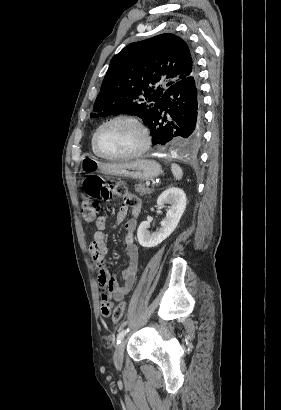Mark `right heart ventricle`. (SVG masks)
Segmentation results:
<instances>
[{"label":"right heart ventricle","instance_id":"1","mask_svg":"<svg viewBox=\"0 0 281 410\" xmlns=\"http://www.w3.org/2000/svg\"><path fill=\"white\" fill-rule=\"evenodd\" d=\"M91 148H92L93 153H94L95 155H98L97 152H96L95 149H94V146H93V136H92V138H91ZM98 156H99V155H98Z\"/></svg>","mask_w":281,"mask_h":410}]
</instances>
